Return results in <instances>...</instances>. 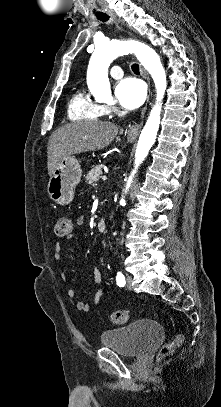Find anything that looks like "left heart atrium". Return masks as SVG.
Masks as SVG:
<instances>
[{"label": "left heart atrium", "mask_w": 221, "mask_h": 407, "mask_svg": "<svg viewBox=\"0 0 221 407\" xmlns=\"http://www.w3.org/2000/svg\"><path fill=\"white\" fill-rule=\"evenodd\" d=\"M115 95L123 108L133 110L144 102L146 87L142 80L127 77L116 84Z\"/></svg>", "instance_id": "39dd6f15"}]
</instances>
